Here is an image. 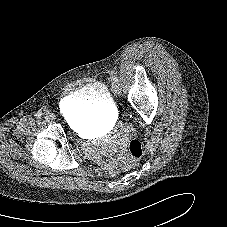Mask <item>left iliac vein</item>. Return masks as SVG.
<instances>
[{"label":"left iliac vein","mask_w":227,"mask_h":227,"mask_svg":"<svg viewBox=\"0 0 227 227\" xmlns=\"http://www.w3.org/2000/svg\"><path fill=\"white\" fill-rule=\"evenodd\" d=\"M113 89L116 93H120V87L118 83H113Z\"/></svg>","instance_id":"1"}]
</instances>
